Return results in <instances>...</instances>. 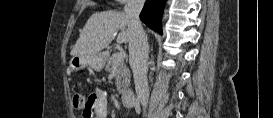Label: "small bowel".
<instances>
[{
    "label": "small bowel",
    "instance_id": "obj_1",
    "mask_svg": "<svg viewBox=\"0 0 273 118\" xmlns=\"http://www.w3.org/2000/svg\"><path fill=\"white\" fill-rule=\"evenodd\" d=\"M107 93L102 90H96L88 98V107L84 112V118H107Z\"/></svg>",
    "mask_w": 273,
    "mask_h": 118
}]
</instances>
